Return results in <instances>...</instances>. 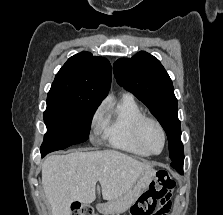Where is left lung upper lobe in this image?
<instances>
[{
    "instance_id": "1",
    "label": "left lung upper lobe",
    "mask_w": 223,
    "mask_h": 215,
    "mask_svg": "<svg viewBox=\"0 0 223 215\" xmlns=\"http://www.w3.org/2000/svg\"><path fill=\"white\" fill-rule=\"evenodd\" d=\"M113 70L118 84L141 100L162 125L168 137L171 166H183L177 99L172 81L160 61L140 51L132 58L118 59Z\"/></svg>"
}]
</instances>
